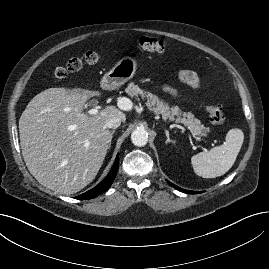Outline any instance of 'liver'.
<instances>
[{"mask_svg": "<svg viewBox=\"0 0 269 269\" xmlns=\"http://www.w3.org/2000/svg\"><path fill=\"white\" fill-rule=\"evenodd\" d=\"M99 91L49 88L37 94L19 120L22 155L30 173L43 186L62 194H74L96 177L105 159L111 117L126 121L115 106L96 115L83 106Z\"/></svg>", "mask_w": 269, "mask_h": 269, "instance_id": "6515ba94", "label": "liver"}]
</instances>
